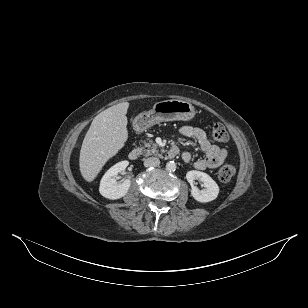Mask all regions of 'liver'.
<instances>
[{"instance_id":"obj_1","label":"liver","mask_w":308,"mask_h":308,"mask_svg":"<svg viewBox=\"0 0 308 308\" xmlns=\"http://www.w3.org/2000/svg\"><path fill=\"white\" fill-rule=\"evenodd\" d=\"M128 108V102L118 103L93 119L79 158L80 172L87 182H92L104 164L124 146L128 138Z\"/></svg>"}]
</instances>
